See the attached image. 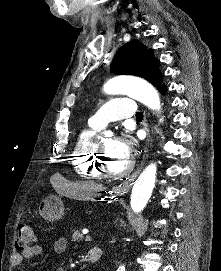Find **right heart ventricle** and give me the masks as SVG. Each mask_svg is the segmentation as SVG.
Instances as JSON below:
<instances>
[{
	"label": "right heart ventricle",
	"instance_id": "e07e8e85",
	"mask_svg": "<svg viewBox=\"0 0 221 271\" xmlns=\"http://www.w3.org/2000/svg\"><path fill=\"white\" fill-rule=\"evenodd\" d=\"M98 144L96 139L89 140V138H78L75 143L77 151H84L88 154H73L72 161L77 164L82 163L81 166H74V172L79 179H102V174H98L99 166L95 164L93 158H97L99 153Z\"/></svg>",
	"mask_w": 221,
	"mask_h": 271
}]
</instances>
